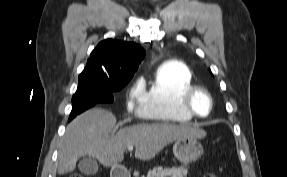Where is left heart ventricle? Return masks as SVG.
Instances as JSON below:
<instances>
[{
	"mask_svg": "<svg viewBox=\"0 0 287 177\" xmlns=\"http://www.w3.org/2000/svg\"><path fill=\"white\" fill-rule=\"evenodd\" d=\"M193 106L200 115H206L209 111V100L203 93H198L193 99Z\"/></svg>",
	"mask_w": 287,
	"mask_h": 177,
	"instance_id": "1",
	"label": "left heart ventricle"
}]
</instances>
